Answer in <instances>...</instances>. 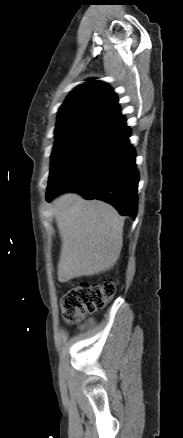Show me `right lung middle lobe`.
<instances>
[{"label": "right lung middle lobe", "mask_w": 183, "mask_h": 438, "mask_svg": "<svg viewBox=\"0 0 183 438\" xmlns=\"http://www.w3.org/2000/svg\"><path fill=\"white\" fill-rule=\"evenodd\" d=\"M96 132L97 129L88 127L55 132L56 142L52 152L49 183L54 180L82 147L90 141Z\"/></svg>", "instance_id": "obj_1"}]
</instances>
